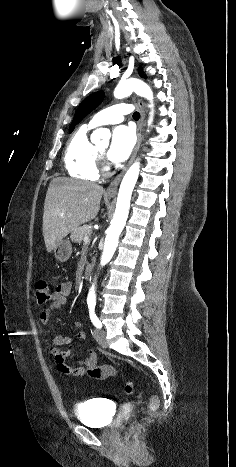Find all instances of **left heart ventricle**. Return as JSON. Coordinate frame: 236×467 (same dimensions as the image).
I'll use <instances>...</instances> for the list:
<instances>
[{
  "label": "left heart ventricle",
  "mask_w": 236,
  "mask_h": 467,
  "mask_svg": "<svg viewBox=\"0 0 236 467\" xmlns=\"http://www.w3.org/2000/svg\"><path fill=\"white\" fill-rule=\"evenodd\" d=\"M106 149H107V147H101V148H99V150H100L101 152H103V153L106 152Z\"/></svg>",
  "instance_id": "obj_1"
}]
</instances>
